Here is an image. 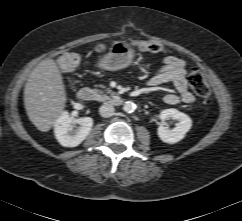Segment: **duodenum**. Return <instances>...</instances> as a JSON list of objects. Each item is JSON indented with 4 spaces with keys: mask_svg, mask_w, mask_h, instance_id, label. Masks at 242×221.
<instances>
[{
    "mask_svg": "<svg viewBox=\"0 0 242 221\" xmlns=\"http://www.w3.org/2000/svg\"><path fill=\"white\" fill-rule=\"evenodd\" d=\"M78 98L83 101H96L98 95L90 87H82L77 92ZM108 103L113 106H119L123 103V98L120 96L111 97L108 100Z\"/></svg>",
    "mask_w": 242,
    "mask_h": 221,
    "instance_id": "1",
    "label": "duodenum"
}]
</instances>
